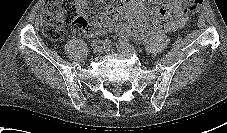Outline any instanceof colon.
<instances>
[{
  "label": "colon",
  "instance_id": "5ec220e1",
  "mask_svg": "<svg viewBox=\"0 0 227 133\" xmlns=\"http://www.w3.org/2000/svg\"><path fill=\"white\" fill-rule=\"evenodd\" d=\"M203 0H180L185 15L194 13ZM115 14L107 0H49L40 14L44 36L51 41L63 39L70 27L85 31L106 26Z\"/></svg>",
  "mask_w": 227,
  "mask_h": 133
}]
</instances>
